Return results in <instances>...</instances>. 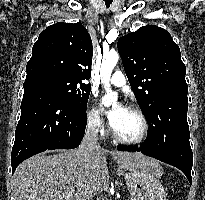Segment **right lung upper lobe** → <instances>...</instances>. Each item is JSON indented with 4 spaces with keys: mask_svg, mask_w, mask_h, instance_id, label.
Returning <instances> with one entry per match:
<instances>
[{
    "mask_svg": "<svg viewBox=\"0 0 205 200\" xmlns=\"http://www.w3.org/2000/svg\"><path fill=\"white\" fill-rule=\"evenodd\" d=\"M92 56L91 37L80 22L56 23L43 30L33 45L26 80L42 74L89 79Z\"/></svg>",
    "mask_w": 205,
    "mask_h": 200,
    "instance_id": "1",
    "label": "right lung upper lobe"
}]
</instances>
